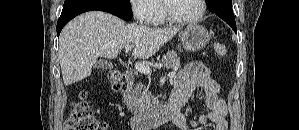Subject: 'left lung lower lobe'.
Wrapping results in <instances>:
<instances>
[{
	"label": "left lung lower lobe",
	"mask_w": 299,
	"mask_h": 130,
	"mask_svg": "<svg viewBox=\"0 0 299 130\" xmlns=\"http://www.w3.org/2000/svg\"><path fill=\"white\" fill-rule=\"evenodd\" d=\"M209 10L227 22L234 32L236 30V22L232 10V2L230 0H213L210 5H207Z\"/></svg>",
	"instance_id": "obj_1"
}]
</instances>
